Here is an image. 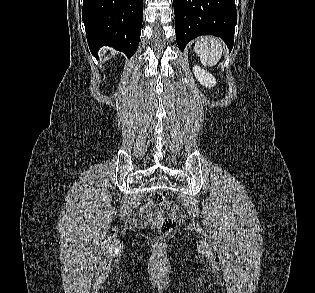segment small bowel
I'll list each match as a JSON object with an SVG mask.
<instances>
[{"instance_id":"obj_1","label":"small bowel","mask_w":315,"mask_h":293,"mask_svg":"<svg viewBox=\"0 0 315 293\" xmlns=\"http://www.w3.org/2000/svg\"><path fill=\"white\" fill-rule=\"evenodd\" d=\"M162 218L161 213L152 211L150 204H145L135 217V223L138 226L156 225V222Z\"/></svg>"}]
</instances>
